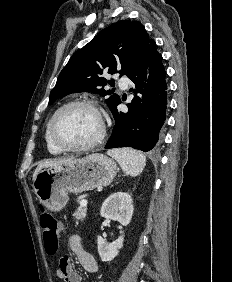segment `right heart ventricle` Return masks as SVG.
I'll return each instance as SVG.
<instances>
[{
    "instance_id": "1",
    "label": "right heart ventricle",
    "mask_w": 232,
    "mask_h": 282,
    "mask_svg": "<svg viewBox=\"0 0 232 282\" xmlns=\"http://www.w3.org/2000/svg\"><path fill=\"white\" fill-rule=\"evenodd\" d=\"M50 121V120H49ZM49 122L47 123L46 129H45V142H46V147L47 150L50 154L52 155H59L61 154L63 151L59 150L51 141L50 137H49Z\"/></svg>"
}]
</instances>
